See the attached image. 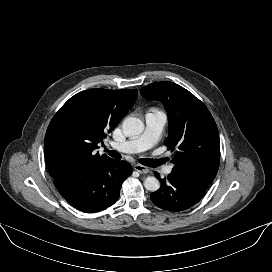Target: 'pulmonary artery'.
<instances>
[{"instance_id": "e3ab8cb5", "label": "pulmonary artery", "mask_w": 272, "mask_h": 272, "mask_svg": "<svg viewBox=\"0 0 272 272\" xmlns=\"http://www.w3.org/2000/svg\"><path fill=\"white\" fill-rule=\"evenodd\" d=\"M166 123L167 115L163 111L152 110L145 116V130L140 136L125 142H115L112 145L115 149L126 153L145 151L154 146L159 140ZM171 171V167L166 169V173H171Z\"/></svg>"}]
</instances>
